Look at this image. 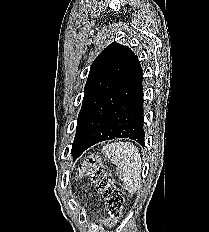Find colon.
<instances>
[{
    "mask_svg": "<svg viewBox=\"0 0 209 232\" xmlns=\"http://www.w3.org/2000/svg\"><path fill=\"white\" fill-rule=\"evenodd\" d=\"M86 175L100 196L106 201L108 213L112 218L122 214L124 197L114 185L112 177L106 172L103 163L95 157L87 162Z\"/></svg>",
    "mask_w": 209,
    "mask_h": 232,
    "instance_id": "1",
    "label": "colon"
}]
</instances>
